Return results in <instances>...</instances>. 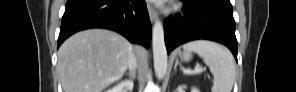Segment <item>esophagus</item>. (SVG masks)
I'll return each mask as SVG.
<instances>
[{"mask_svg": "<svg viewBox=\"0 0 296 92\" xmlns=\"http://www.w3.org/2000/svg\"><path fill=\"white\" fill-rule=\"evenodd\" d=\"M147 9H148L150 20L154 22L156 19V11L154 7L150 4V2L147 3Z\"/></svg>", "mask_w": 296, "mask_h": 92, "instance_id": "esophagus-1", "label": "esophagus"}]
</instances>
